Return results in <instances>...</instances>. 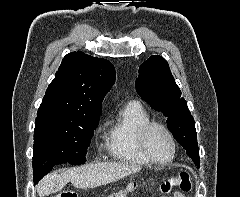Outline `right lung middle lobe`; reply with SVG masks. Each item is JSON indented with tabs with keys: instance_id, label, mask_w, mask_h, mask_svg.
I'll list each match as a JSON object with an SVG mask.
<instances>
[{
	"instance_id": "right-lung-middle-lobe-1",
	"label": "right lung middle lobe",
	"mask_w": 240,
	"mask_h": 197,
	"mask_svg": "<svg viewBox=\"0 0 240 197\" xmlns=\"http://www.w3.org/2000/svg\"><path fill=\"white\" fill-rule=\"evenodd\" d=\"M99 118L37 115L33 153L35 184L55 165L86 162L87 148Z\"/></svg>"
}]
</instances>
